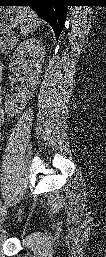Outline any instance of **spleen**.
I'll return each instance as SVG.
<instances>
[{
  "mask_svg": "<svg viewBox=\"0 0 106 257\" xmlns=\"http://www.w3.org/2000/svg\"><path fill=\"white\" fill-rule=\"evenodd\" d=\"M20 16L21 32L24 35L33 33L40 26L41 21L36 13L29 7H19L17 9Z\"/></svg>",
  "mask_w": 106,
  "mask_h": 257,
  "instance_id": "spleen-1",
  "label": "spleen"
}]
</instances>
